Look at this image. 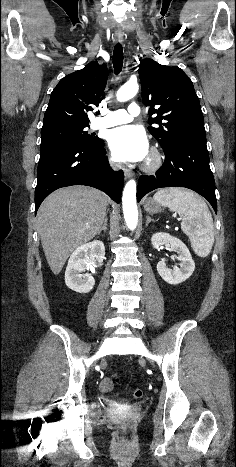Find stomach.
Masks as SVG:
<instances>
[{
  "label": "stomach",
  "mask_w": 236,
  "mask_h": 467,
  "mask_svg": "<svg viewBox=\"0 0 236 467\" xmlns=\"http://www.w3.org/2000/svg\"><path fill=\"white\" fill-rule=\"evenodd\" d=\"M144 208L146 212L150 214H156L161 212L162 205L152 198H148L144 203Z\"/></svg>",
  "instance_id": "obj_1"
}]
</instances>
